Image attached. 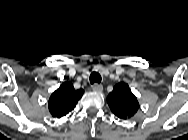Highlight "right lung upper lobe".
Masks as SVG:
<instances>
[{
  "label": "right lung upper lobe",
  "instance_id": "1",
  "mask_svg": "<svg viewBox=\"0 0 188 140\" xmlns=\"http://www.w3.org/2000/svg\"><path fill=\"white\" fill-rule=\"evenodd\" d=\"M84 93L83 89L75 90L71 82H64L52 93L48 107L53 117L61 118L71 112Z\"/></svg>",
  "mask_w": 188,
  "mask_h": 140
}]
</instances>
